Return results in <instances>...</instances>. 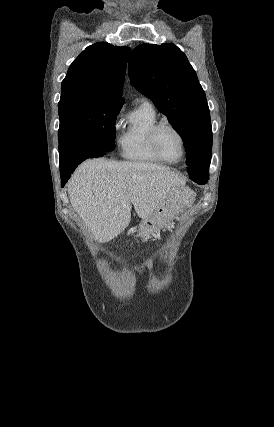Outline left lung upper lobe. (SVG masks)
Instances as JSON below:
<instances>
[{"label": "left lung upper lobe", "mask_w": 274, "mask_h": 427, "mask_svg": "<svg viewBox=\"0 0 274 427\" xmlns=\"http://www.w3.org/2000/svg\"><path fill=\"white\" fill-rule=\"evenodd\" d=\"M132 85L149 97L181 136L188 174L209 175L212 150L205 93L186 55L174 44H142L129 60Z\"/></svg>", "instance_id": "5c2ea615"}]
</instances>
